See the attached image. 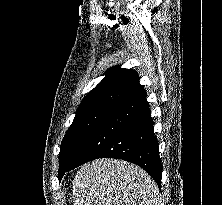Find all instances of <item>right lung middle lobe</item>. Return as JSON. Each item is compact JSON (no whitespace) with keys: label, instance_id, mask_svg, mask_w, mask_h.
<instances>
[{"label":"right lung middle lobe","instance_id":"1","mask_svg":"<svg viewBox=\"0 0 222 205\" xmlns=\"http://www.w3.org/2000/svg\"><path fill=\"white\" fill-rule=\"evenodd\" d=\"M109 110H97L76 115L66 132L59 153L58 178L64 174L72 163L78 150L95 126L104 118Z\"/></svg>","mask_w":222,"mask_h":205}]
</instances>
